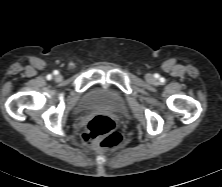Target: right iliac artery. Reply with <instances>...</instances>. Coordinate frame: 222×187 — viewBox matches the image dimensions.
I'll use <instances>...</instances> for the list:
<instances>
[{"mask_svg":"<svg viewBox=\"0 0 222 187\" xmlns=\"http://www.w3.org/2000/svg\"><path fill=\"white\" fill-rule=\"evenodd\" d=\"M54 73H55V74H58V72H57V71H55ZM51 78H52V76H51V75H48V76H47V79H48V80H50Z\"/></svg>","mask_w":222,"mask_h":187,"instance_id":"right-iliac-artery-1","label":"right iliac artery"}]
</instances>
